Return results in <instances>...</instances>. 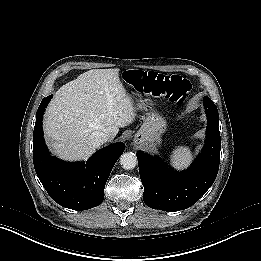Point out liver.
Here are the masks:
<instances>
[{
  "label": "liver",
  "instance_id": "1",
  "mask_svg": "<svg viewBox=\"0 0 261 261\" xmlns=\"http://www.w3.org/2000/svg\"><path fill=\"white\" fill-rule=\"evenodd\" d=\"M119 69H92L60 87L44 115V135L52 152L68 161L87 160L96 150L92 133L114 139L136 114L119 80Z\"/></svg>",
  "mask_w": 261,
  "mask_h": 261
}]
</instances>
